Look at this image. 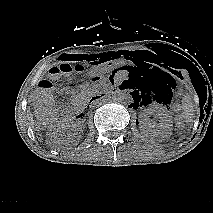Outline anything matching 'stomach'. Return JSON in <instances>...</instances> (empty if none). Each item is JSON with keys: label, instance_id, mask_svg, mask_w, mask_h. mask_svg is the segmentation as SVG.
Masks as SVG:
<instances>
[{"label": "stomach", "instance_id": "stomach-1", "mask_svg": "<svg viewBox=\"0 0 213 213\" xmlns=\"http://www.w3.org/2000/svg\"><path fill=\"white\" fill-rule=\"evenodd\" d=\"M127 65H128V62L124 58H119V59L107 62L104 65L101 63H97L88 69L87 76L89 79L94 80L97 78L98 75H100L104 71L107 73H111L120 69H124L127 67Z\"/></svg>", "mask_w": 213, "mask_h": 213}]
</instances>
